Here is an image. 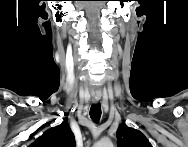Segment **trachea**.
<instances>
[{
	"label": "trachea",
	"mask_w": 188,
	"mask_h": 147,
	"mask_svg": "<svg viewBox=\"0 0 188 147\" xmlns=\"http://www.w3.org/2000/svg\"><path fill=\"white\" fill-rule=\"evenodd\" d=\"M90 117L93 121L98 122L101 117V105L93 104L90 108Z\"/></svg>",
	"instance_id": "obj_1"
}]
</instances>
